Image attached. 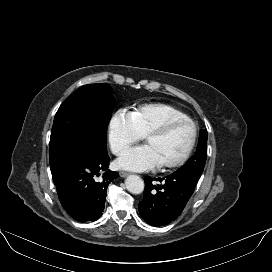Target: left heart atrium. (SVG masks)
<instances>
[{
    "label": "left heart atrium",
    "mask_w": 272,
    "mask_h": 272,
    "mask_svg": "<svg viewBox=\"0 0 272 272\" xmlns=\"http://www.w3.org/2000/svg\"><path fill=\"white\" fill-rule=\"evenodd\" d=\"M160 164L157 153L148 144L132 147L116 160L118 168L136 172L146 171Z\"/></svg>",
    "instance_id": "left-heart-atrium-1"
}]
</instances>
